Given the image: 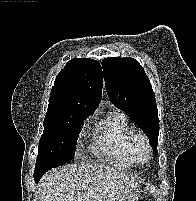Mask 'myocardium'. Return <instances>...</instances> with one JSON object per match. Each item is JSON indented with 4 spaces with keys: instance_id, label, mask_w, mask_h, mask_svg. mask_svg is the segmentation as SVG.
I'll use <instances>...</instances> for the list:
<instances>
[{
    "instance_id": "1",
    "label": "myocardium",
    "mask_w": 196,
    "mask_h": 201,
    "mask_svg": "<svg viewBox=\"0 0 196 201\" xmlns=\"http://www.w3.org/2000/svg\"><path fill=\"white\" fill-rule=\"evenodd\" d=\"M141 145L144 148L145 151V158L144 159H139L138 155H137V146ZM129 153H130V158L132 161V164L135 165H143L146 164L150 158H151V154H152V148H151V144L149 141V138L147 137V135L143 132H134L131 140H130V149H129Z\"/></svg>"
}]
</instances>
